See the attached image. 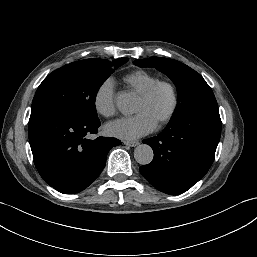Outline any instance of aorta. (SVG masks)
<instances>
[{"label": "aorta", "mask_w": 257, "mask_h": 257, "mask_svg": "<svg viewBox=\"0 0 257 257\" xmlns=\"http://www.w3.org/2000/svg\"><path fill=\"white\" fill-rule=\"evenodd\" d=\"M118 110L125 115L135 111V98L129 93H119L116 97ZM153 150L147 144H140L134 150V158L141 165H147L153 160Z\"/></svg>", "instance_id": "aorta-1"}]
</instances>
